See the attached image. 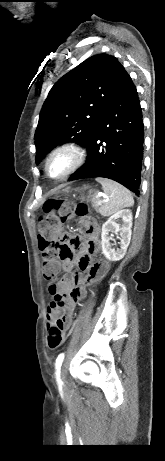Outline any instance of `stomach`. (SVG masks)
<instances>
[{"mask_svg": "<svg viewBox=\"0 0 165 461\" xmlns=\"http://www.w3.org/2000/svg\"><path fill=\"white\" fill-rule=\"evenodd\" d=\"M84 189H87V187L85 186ZM65 192H68L69 191V188H66L65 190H63Z\"/></svg>", "mask_w": 165, "mask_h": 461, "instance_id": "stomach-1", "label": "stomach"}]
</instances>
